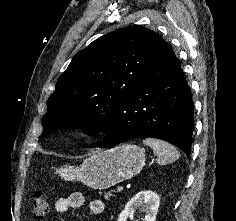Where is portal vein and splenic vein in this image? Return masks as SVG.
<instances>
[{
	"mask_svg": "<svg viewBox=\"0 0 236 221\" xmlns=\"http://www.w3.org/2000/svg\"><path fill=\"white\" fill-rule=\"evenodd\" d=\"M123 189H124V186L120 185V186L117 187V192H121Z\"/></svg>",
	"mask_w": 236,
	"mask_h": 221,
	"instance_id": "portal-vein-and-splenic-vein-1",
	"label": "portal vein and splenic vein"
}]
</instances>
